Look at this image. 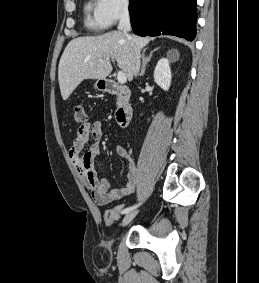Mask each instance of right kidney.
<instances>
[{
  "label": "right kidney",
  "mask_w": 259,
  "mask_h": 283,
  "mask_svg": "<svg viewBox=\"0 0 259 283\" xmlns=\"http://www.w3.org/2000/svg\"><path fill=\"white\" fill-rule=\"evenodd\" d=\"M171 69L167 58L158 61L154 70V80L163 90L168 91L171 85Z\"/></svg>",
  "instance_id": "obj_1"
}]
</instances>
